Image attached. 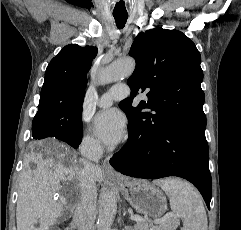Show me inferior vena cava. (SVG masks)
I'll return each instance as SVG.
<instances>
[{"label": "inferior vena cava", "instance_id": "602c4592", "mask_svg": "<svg viewBox=\"0 0 241 230\" xmlns=\"http://www.w3.org/2000/svg\"><path fill=\"white\" fill-rule=\"evenodd\" d=\"M102 151L99 144L88 145L82 150V154L88 160L84 161L79 174L81 196L73 216V223L78 230H95L97 189L95 165L91 160H98Z\"/></svg>", "mask_w": 241, "mask_h": 230}]
</instances>
